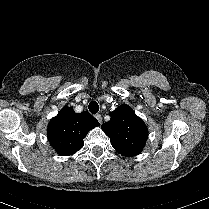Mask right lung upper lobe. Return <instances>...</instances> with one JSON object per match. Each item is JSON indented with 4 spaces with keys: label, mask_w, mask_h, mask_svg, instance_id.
<instances>
[{
    "label": "right lung upper lobe",
    "mask_w": 209,
    "mask_h": 209,
    "mask_svg": "<svg viewBox=\"0 0 209 209\" xmlns=\"http://www.w3.org/2000/svg\"><path fill=\"white\" fill-rule=\"evenodd\" d=\"M99 125L87 111L77 114L71 107L65 106L50 120L47 137L59 155L69 156L83 147L87 133Z\"/></svg>",
    "instance_id": "right-lung-upper-lobe-1"
}]
</instances>
